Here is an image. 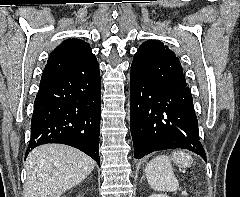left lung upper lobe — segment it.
Wrapping results in <instances>:
<instances>
[{
	"label": "left lung upper lobe",
	"instance_id": "5c2ea615",
	"mask_svg": "<svg viewBox=\"0 0 240 197\" xmlns=\"http://www.w3.org/2000/svg\"><path fill=\"white\" fill-rule=\"evenodd\" d=\"M131 67L141 71H168L184 77L182 66L175 53L160 41L148 40L140 45Z\"/></svg>",
	"mask_w": 240,
	"mask_h": 197
}]
</instances>
